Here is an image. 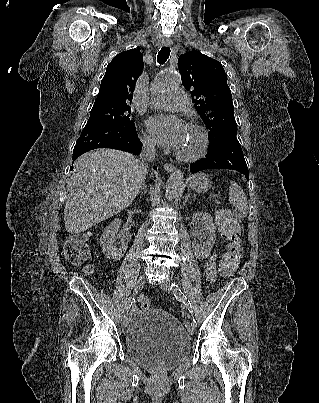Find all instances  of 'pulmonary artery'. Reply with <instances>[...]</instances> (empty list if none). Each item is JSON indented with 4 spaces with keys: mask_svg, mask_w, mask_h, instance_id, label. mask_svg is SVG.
Wrapping results in <instances>:
<instances>
[{
    "mask_svg": "<svg viewBox=\"0 0 319 403\" xmlns=\"http://www.w3.org/2000/svg\"><path fill=\"white\" fill-rule=\"evenodd\" d=\"M153 104L174 109H184L189 105L187 96L180 88L172 89L166 94L161 95L153 102Z\"/></svg>",
    "mask_w": 319,
    "mask_h": 403,
    "instance_id": "1",
    "label": "pulmonary artery"
}]
</instances>
